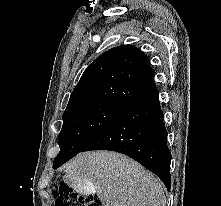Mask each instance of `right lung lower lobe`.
Instances as JSON below:
<instances>
[{"label":"right lung lower lobe","mask_w":221,"mask_h":206,"mask_svg":"<svg viewBox=\"0 0 221 206\" xmlns=\"http://www.w3.org/2000/svg\"><path fill=\"white\" fill-rule=\"evenodd\" d=\"M90 150L116 151L131 157L156 174L170 191L171 153L157 88L127 106L81 152Z\"/></svg>","instance_id":"98d812e1"}]
</instances>
